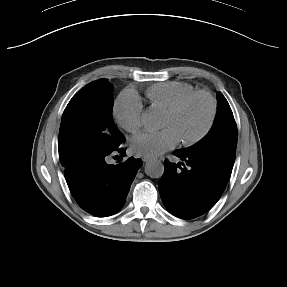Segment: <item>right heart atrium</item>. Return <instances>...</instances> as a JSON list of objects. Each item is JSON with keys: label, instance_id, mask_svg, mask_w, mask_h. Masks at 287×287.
Here are the masks:
<instances>
[{"label": "right heart atrium", "instance_id": "right-heart-atrium-1", "mask_svg": "<svg viewBox=\"0 0 287 287\" xmlns=\"http://www.w3.org/2000/svg\"><path fill=\"white\" fill-rule=\"evenodd\" d=\"M114 115L128 132L135 133L143 126V105L135 91L122 93L114 104Z\"/></svg>", "mask_w": 287, "mask_h": 287}]
</instances>
